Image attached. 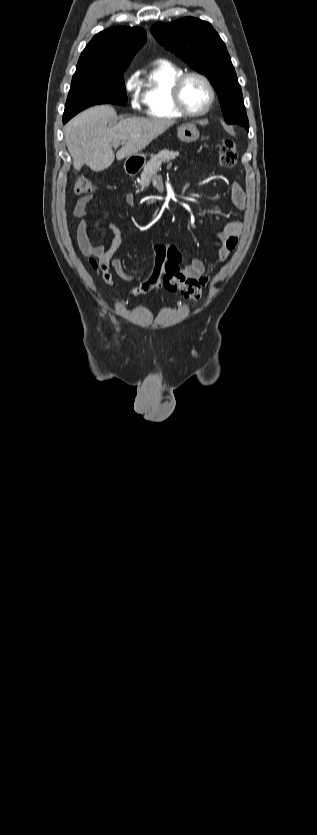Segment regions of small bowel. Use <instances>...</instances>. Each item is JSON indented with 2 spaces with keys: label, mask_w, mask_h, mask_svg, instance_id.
I'll use <instances>...</instances> for the list:
<instances>
[{
  "label": "small bowel",
  "mask_w": 317,
  "mask_h": 835,
  "mask_svg": "<svg viewBox=\"0 0 317 835\" xmlns=\"http://www.w3.org/2000/svg\"><path fill=\"white\" fill-rule=\"evenodd\" d=\"M230 196L233 205L243 210L246 207V195L241 185L233 182L230 187ZM92 200V195H85L78 199L74 207V216L81 219L77 227V242L86 256L89 265L92 269L101 272V277L108 287L114 286V278L112 271L117 273L120 277L127 281H137L138 285L130 288L127 293L131 296L138 297L147 294L151 291H158L162 287L161 277L163 274L164 264L168 260H173L179 263L182 260L180 252L168 245L158 244L154 247V268L151 274L143 277L142 274L129 271L125 268L120 259L114 257V254L122 244L121 230L113 222H107L106 227L112 234L110 246H104L94 243L89 236V228L91 219L86 217L87 207ZM125 202L129 206L135 204V199L131 194L125 196ZM242 230L241 223L237 221L227 222L218 233V256L221 262L228 259L231 252L236 248L238 239ZM184 273L187 277L199 281L202 287H205L209 281L210 276L205 272V264L200 258H193L184 267Z\"/></svg>",
  "instance_id": "c3829d8e"
}]
</instances>
